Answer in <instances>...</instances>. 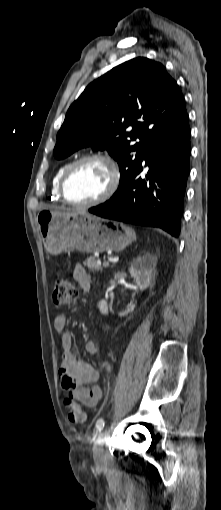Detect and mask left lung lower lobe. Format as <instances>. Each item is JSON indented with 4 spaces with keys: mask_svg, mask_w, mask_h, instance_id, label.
I'll use <instances>...</instances> for the list:
<instances>
[{
    "mask_svg": "<svg viewBox=\"0 0 221 510\" xmlns=\"http://www.w3.org/2000/svg\"><path fill=\"white\" fill-rule=\"evenodd\" d=\"M191 130L188 122L148 147L127 187L90 213L122 222L159 227L174 237L181 229L183 200L190 173ZM149 170L141 177L144 167ZM163 186V190H157Z\"/></svg>",
    "mask_w": 221,
    "mask_h": 510,
    "instance_id": "left-lung-lower-lobe-1",
    "label": "left lung lower lobe"
}]
</instances>
